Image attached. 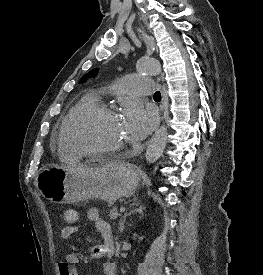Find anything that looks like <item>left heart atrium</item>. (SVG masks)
Masks as SVG:
<instances>
[{"instance_id":"1","label":"left heart atrium","mask_w":263,"mask_h":275,"mask_svg":"<svg viewBox=\"0 0 263 275\" xmlns=\"http://www.w3.org/2000/svg\"><path fill=\"white\" fill-rule=\"evenodd\" d=\"M123 127L131 141L143 139L154 125V117L144 111L139 103H131L124 110L121 118Z\"/></svg>"}]
</instances>
